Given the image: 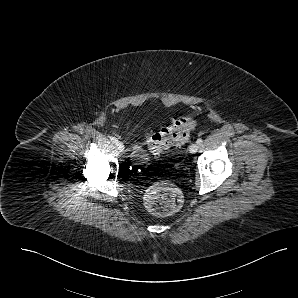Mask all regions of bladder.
<instances>
[{"label": "bladder", "mask_w": 298, "mask_h": 298, "mask_svg": "<svg viewBox=\"0 0 298 298\" xmlns=\"http://www.w3.org/2000/svg\"><path fill=\"white\" fill-rule=\"evenodd\" d=\"M132 155L135 158L143 159L147 157V152L142 144L134 143L132 146Z\"/></svg>", "instance_id": "1"}]
</instances>
